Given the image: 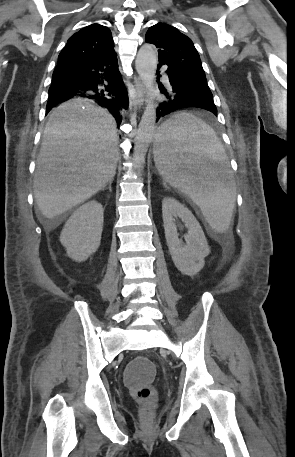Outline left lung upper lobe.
Wrapping results in <instances>:
<instances>
[{
    "instance_id": "5c2ea615",
    "label": "left lung upper lobe",
    "mask_w": 295,
    "mask_h": 457,
    "mask_svg": "<svg viewBox=\"0 0 295 457\" xmlns=\"http://www.w3.org/2000/svg\"><path fill=\"white\" fill-rule=\"evenodd\" d=\"M147 43L158 48L159 60L182 71L181 78L192 87H208L200 56L193 42L177 28L166 23L151 26L145 36ZM194 76H201L195 79Z\"/></svg>"
}]
</instances>
